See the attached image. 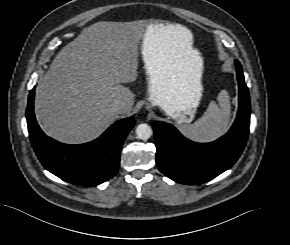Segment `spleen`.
I'll use <instances>...</instances> for the list:
<instances>
[{"label": "spleen", "mask_w": 290, "mask_h": 245, "mask_svg": "<svg viewBox=\"0 0 290 245\" xmlns=\"http://www.w3.org/2000/svg\"><path fill=\"white\" fill-rule=\"evenodd\" d=\"M217 101L218 104L211 101L204 115L194 124L181 126V132L187 138L197 142H209L222 136L228 130L231 114L228 92L220 91Z\"/></svg>", "instance_id": "1"}]
</instances>
